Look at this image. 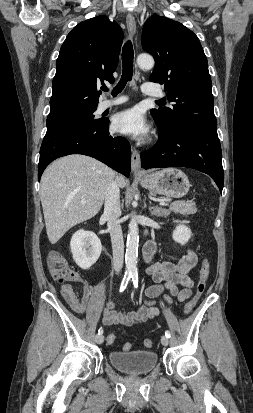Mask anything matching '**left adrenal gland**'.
Wrapping results in <instances>:
<instances>
[{
    "label": "left adrenal gland",
    "instance_id": "left-adrenal-gland-1",
    "mask_svg": "<svg viewBox=\"0 0 253 413\" xmlns=\"http://www.w3.org/2000/svg\"><path fill=\"white\" fill-rule=\"evenodd\" d=\"M149 211L152 215L157 216V217L166 216L168 214L167 210L161 207H158V206H152L151 202L149 206Z\"/></svg>",
    "mask_w": 253,
    "mask_h": 413
}]
</instances>
